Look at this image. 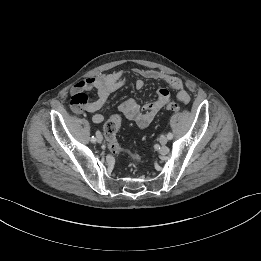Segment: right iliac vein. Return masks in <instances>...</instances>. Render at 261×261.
I'll use <instances>...</instances> for the list:
<instances>
[{
    "mask_svg": "<svg viewBox=\"0 0 261 261\" xmlns=\"http://www.w3.org/2000/svg\"><path fill=\"white\" fill-rule=\"evenodd\" d=\"M96 141L98 143H101L103 141V136L99 132L96 134Z\"/></svg>",
    "mask_w": 261,
    "mask_h": 261,
    "instance_id": "right-iliac-vein-1",
    "label": "right iliac vein"
}]
</instances>
